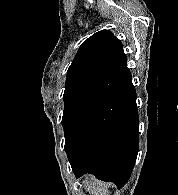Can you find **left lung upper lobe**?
Listing matches in <instances>:
<instances>
[{"label": "left lung upper lobe", "instance_id": "obj_1", "mask_svg": "<svg viewBox=\"0 0 178 195\" xmlns=\"http://www.w3.org/2000/svg\"><path fill=\"white\" fill-rule=\"evenodd\" d=\"M132 82L121 41L109 30L85 40L67 71L63 95L65 146Z\"/></svg>", "mask_w": 178, "mask_h": 195}]
</instances>
